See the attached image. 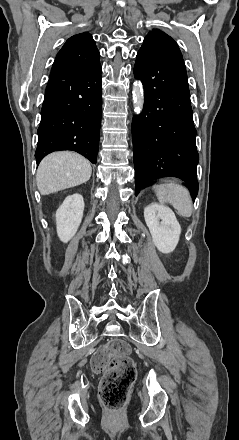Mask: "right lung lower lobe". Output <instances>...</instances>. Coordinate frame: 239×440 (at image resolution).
I'll use <instances>...</instances> for the list:
<instances>
[{
    "instance_id": "98d812e1",
    "label": "right lung lower lobe",
    "mask_w": 239,
    "mask_h": 440,
    "mask_svg": "<svg viewBox=\"0 0 239 440\" xmlns=\"http://www.w3.org/2000/svg\"><path fill=\"white\" fill-rule=\"evenodd\" d=\"M101 111V65L85 72H51L38 128L37 165L59 150L76 151L95 164Z\"/></svg>"
}]
</instances>
